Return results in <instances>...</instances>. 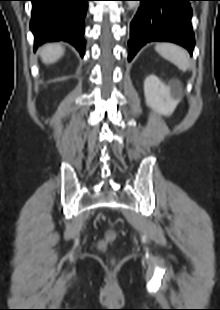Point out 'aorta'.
<instances>
[{
	"label": "aorta",
	"instance_id": "aorta-1",
	"mask_svg": "<svg viewBox=\"0 0 220 310\" xmlns=\"http://www.w3.org/2000/svg\"><path fill=\"white\" fill-rule=\"evenodd\" d=\"M127 3L130 9H134L139 6V1H128Z\"/></svg>",
	"mask_w": 220,
	"mask_h": 310
}]
</instances>
